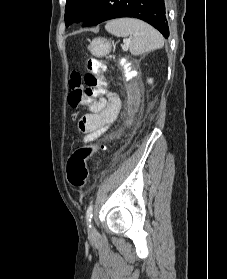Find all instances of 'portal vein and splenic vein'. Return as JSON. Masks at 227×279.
Returning a JSON list of instances; mask_svg holds the SVG:
<instances>
[{
	"label": "portal vein and splenic vein",
	"mask_w": 227,
	"mask_h": 279,
	"mask_svg": "<svg viewBox=\"0 0 227 279\" xmlns=\"http://www.w3.org/2000/svg\"><path fill=\"white\" fill-rule=\"evenodd\" d=\"M129 42H130L129 40H126V41L124 42V45L122 46L123 51H127V50H128Z\"/></svg>",
	"instance_id": "18ae733b"
}]
</instances>
